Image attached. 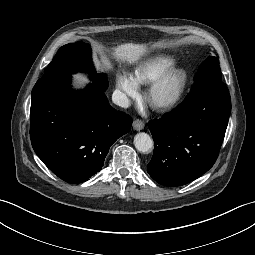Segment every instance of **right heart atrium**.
I'll use <instances>...</instances> for the list:
<instances>
[{
    "label": "right heart atrium",
    "instance_id": "1",
    "mask_svg": "<svg viewBox=\"0 0 255 255\" xmlns=\"http://www.w3.org/2000/svg\"><path fill=\"white\" fill-rule=\"evenodd\" d=\"M116 85L126 101L135 98L138 94V83L131 74L125 72L118 73Z\"/></svg>",
    "mask_w": 255,
    "mask_h": 255
}]
</instances>
